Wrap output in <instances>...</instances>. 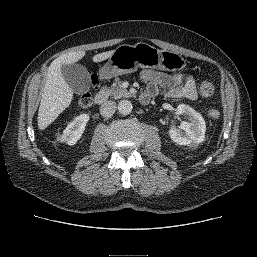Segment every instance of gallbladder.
<instances>
[{"label": "gallbladder", "instance_id": "gallbladder-1", "mask_svg": "<svg viewBox=\"0 0 257 257\" xmlns=\"http://www.w3.org/2000/svg\"><path fill=\"white\" fill-rule=\"evenodd\" d=\"M61 72L72 91L83 94L90 89V74L79 64H62Z\"/></svg>", "mask_w": 257, "mask_h": 257}]
</instances>
